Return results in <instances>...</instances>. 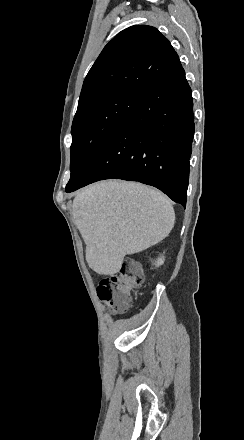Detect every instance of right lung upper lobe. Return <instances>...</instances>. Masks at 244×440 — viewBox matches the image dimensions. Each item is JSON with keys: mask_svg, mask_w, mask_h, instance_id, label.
<instances>
[{"mask_svg": "<svg viewBox=\"0 0 244 440\" xmlns=\"http://www.w3.org/2000/svg\"><path fill=\"white\" fill-rule=\"evenodd\" d=\"M181 67L170 42L156 28L129 27L102 50L84 80L79 104L119 94L142 97Z\"/></svg>", "mask_w": 244, "mask_h": 440, "instance_id": "obj_1", "label": "right lung upper lobe"}]
</instances>
